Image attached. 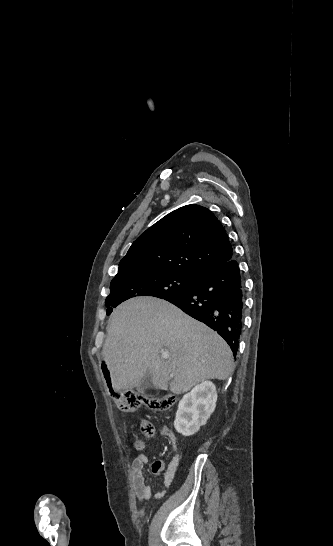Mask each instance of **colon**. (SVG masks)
Segmentation results:
<instances>
[{"label":"colon","mask_w":333,"mask_h":546,"mask_svg":"<svg viewBox=\"0 0 333 546\" xmlns=\"http://www.w3.org/2000/svg\"><path fill=\"white\" fill-rule=\"evenodd\" d=\"M101 369L103 372L102 378L106 379L104 384L109 391H112L111 393L115 396L114 398L117 406L123 411H134L142 405L153 410L165 411L170 409L175 403V396L171 394L160 398H154L136 392L118 393L112 385V380L108 379L110 377V374L108 373V364L102 363ZM141 432L145 437H153L155 435V427L149 420L143 419L141 421Z\"/></svg>","instance_id":"obj_1"}]
</instances>
